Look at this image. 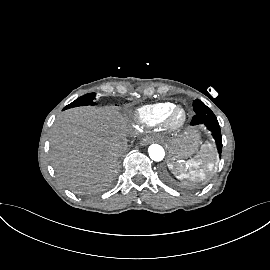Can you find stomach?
Masks as SVG:
<instances>
[{"instance_id": "obj_1", "label": "stomach", "mask_w": 270, "mask_h": 270, "mask_svg": "<svg viewBox=\"0 0 270 270\" xmlns=\"http://www.w3.org/2000/svg\"><path fill=\"white\" fill-rule=\"evenodd\" d=\"M200 136L196 130L187 129L167 141L169 158L167 165L179 179L186 172L184 159L194 154L199 145Z\"/></svg>"}]
</instances>
